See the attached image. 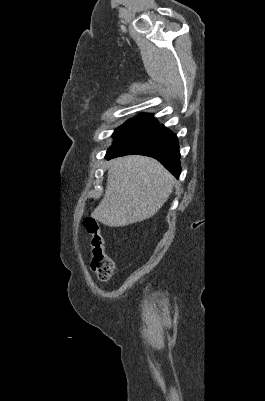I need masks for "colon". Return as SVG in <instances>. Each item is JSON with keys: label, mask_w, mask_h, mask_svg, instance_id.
Masks as SVG:
<instances>
[{"label": "colon", "mask_w": 265, "mask_h": 401, "mask_svg": "<svg viewBox=\"0 0 265 401\" xmlns=\"http://www.w3.org/2000/svg\"><path fill=\"white\" fill-rule=\"evenodd\" d=\"M85 230L90 236V247L92 251L91 268L102 282L109 280L113 273L114 264L106 254L104 239L99 223L91 217L83 221Z\"/></svg>", "instance_id": "colon-1"}]
</instances>
